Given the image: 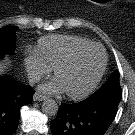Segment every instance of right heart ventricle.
<instances>
[{"mask_svg": "<svg viewBox=\"0 0 135 135\" xmlns=\"http://www.w3.org/2000/svg\"><path fill=\"white\" fill-rule=\"evenodd\" d=\"M92 41L73 35H47L39 39L36 52L49 67H54L73 50Z\"/></svg>", "mask_w": 135, "mask_h": 135, "instance_id": "1", "label": "right heart ventricle"}]
</instances>
